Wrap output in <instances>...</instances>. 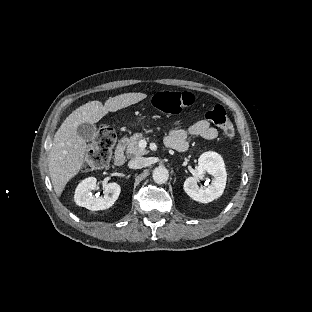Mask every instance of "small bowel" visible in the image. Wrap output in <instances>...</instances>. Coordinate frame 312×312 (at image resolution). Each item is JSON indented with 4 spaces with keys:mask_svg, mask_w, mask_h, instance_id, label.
<instances>
[{
    "mask_svg": "<svg viewBox=\"0 0 312 312\" xmlns=\"http://www.w3.org/2000/svg\"><path fill=\"white\" fill-rule=\"evenodd\" d=\"M187 122L186 118H178L173 122V128L166 137V145L178 152H184L189 147L188 138L191 135L199 136L207 140L217 137V130L205 119L192 123L187 129L181 126Z\"/></svg>",
    "mask_w": 312,
    "mask_h": 312,
    "instance_id": "c3829d8e",
    "label": "small bowel"
}]
</instances>
